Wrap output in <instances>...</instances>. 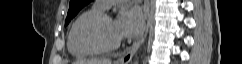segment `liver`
Listing matches in <instances>:
<instances>
[{
    "instance_id": "liver-1",
    "label": "liver",
    "mask_w": 242,
    "mask_h": 64,
    "mask_svg": "<svg viewBox=\"0 0 242 64\" xmlns=\"http://www.w3.org/2000/svg\"><path fill=\"white\" fill-rule=\"evenodd\" d=\"M75 64H112V61L109 59H91L76 61Z\"/></svg>"
}]
</instances>
